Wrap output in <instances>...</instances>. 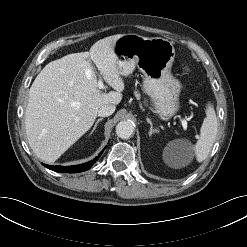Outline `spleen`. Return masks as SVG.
<instances>
[{"label":"spleen","mask_w":247,"mask_h":247,"mask_svg":"<svg viewBox=\"0 0 247 247\" xmlns=\"http://www.w3.org/2000/svg\"><path fill=\"white\" fill-rule=\"evenodd\" d=\"M218 122L214 107L208 103L206 117L200 129V137L193 149L198 162L204 161L209 155L217 135Z\"/></svg>","instance_id":"3e777b00"}]
</instances>
